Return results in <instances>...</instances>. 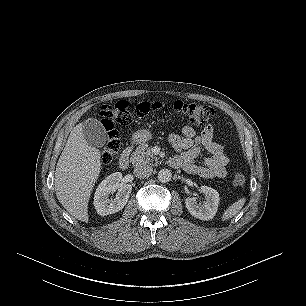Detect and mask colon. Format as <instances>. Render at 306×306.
Returning <instances> with one entry per match:
<instances>
[{
  "mask_svg": "<svg viewBox=\"0 0 306 306\" xmlns=\"http://www.w3.org/2000/svg\"><path fill=\"white\" fill-rule=\"evenodd\" d=\"M170 109L176 114L185 117L190 123L202 125L209 122L214 117V110L206 105L176 101L170 105L161 103L139 104L133 110L129 109L126 103L118 105L103 106L101 109L102 126L107 134L106 142L101 150V161L109 164L120 146L119 133L116 124L128 125L134 118L144 117L150 111ZM246 181L245 175L237 173L233 179L235 186H242Z\"/></svg>",
  "mask_w": 306,
  "mask_h": 306,
  "instance_id": "colon-1",
  "label": "colon"
}]
</instances>
